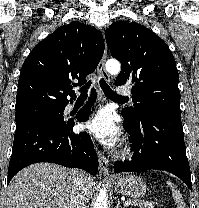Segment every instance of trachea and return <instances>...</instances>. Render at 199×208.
<instances>
[{"mask_svg":"<svg viewBox=\"0 0 199 208\" xmlns=\"http://www.w3.org/2000/svg\"><path fill=\"white\" fill-rule=\"evenodd\" d=\"M100 87L102 88L104 94L114 100V101H127L128 99L127 98H123V97H120L118 96L111 88L110 86L106 83V81L101 78L100 81ZM91 85V81H89L85 86H83L80 90V95H79V99H86L87 98V93H88V89Z\"/></svg>","mask_w":199,"mask_h":208,"instance_id":"1","label":"trachea"}]
</instances>
